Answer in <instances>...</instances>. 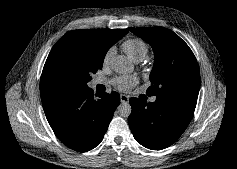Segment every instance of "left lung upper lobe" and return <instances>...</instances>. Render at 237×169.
<instances>
[{"instance_id": "5c2ea615", "label": "left lung upper lobe", "mask_w": 237, "mask_h": 169, "mask_svg": "<svg viewBox=\"0 0 237 169\" xmlns=\"http://www.w3.org/2000/svg\"><path fill=\"white\" fill-rule=\"evenodd\" d=\"M135 35L149 43L155 54L150 74L149 96H185L198 98L200 72L188 45L173 31L163 27L133 28Z\"/></svg>"}]
</instances>
